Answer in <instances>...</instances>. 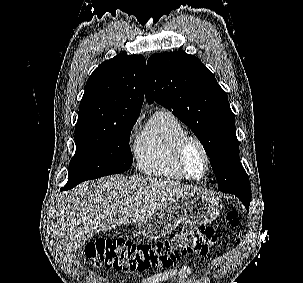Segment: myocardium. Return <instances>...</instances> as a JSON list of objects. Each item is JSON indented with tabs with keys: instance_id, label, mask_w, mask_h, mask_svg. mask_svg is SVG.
Masks as SVG:
<instances>
[{
	"instance_id": "f54148a6",
	"label": "myocardium",
	"mask_w": 303,
	"mask_h": 283,
	"mask_svg": "<svg viewBox=\"0 0 303 283\" xmlns=\"http://www.w3.org/2000/svg\"><path fill=\"white\" fill-rule=\"evenodd\" d=\"M191 145H196L200 149L205 162L204 172L198 177L191 174L187 163V152ZM177 158L181 169L189 180L200 181L208 174L210 170L211 161L208 150L205 144L196 136L187 134L182 138L177 148Z\"/></svg>"
}]
</instances>
